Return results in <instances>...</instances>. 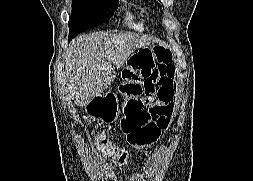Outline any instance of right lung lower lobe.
I'll return each mask as SVG.
<instances>
[{"instance_id": "98d812e1", "label": "right lung lower lobe", "mask_w": 253, "mask_h": 181, "mask_svg": "<svg viewBox=\"0 0 253 181\" xmlns=\"http://www.w3.org/2000/svg\"><path fill=\"white\" fill-rule=\"evenodd\" d=\"M75 37V36H74ZM74 37H72V36H69L68 37V41H70L72 38H74Z\"/></svg>"}]
</instances>
